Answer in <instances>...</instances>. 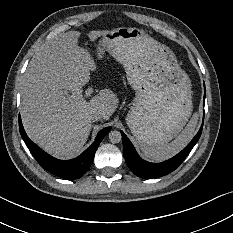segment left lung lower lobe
Here are the masks:
<instances>
[{
  "instance_id": "obj_1",
  "label": "left lung lower lobe",
  "mask_w": 233,
  "mask_h": 233,
  "mask_svg": "<svg viewBox=\"0 0 233 233\" xmlns=\"http://www.w3.org/2000/svg\"><path fill=\"white\" fill-rule=\"evenodd\" d=\"M206 96V90L204 88V99ZM203 129V124L201 125L200 130L188 146L178 153L173 158L161 162V163H150L142 160L137 154L134 146L127 138V136L122 132V141H123V155L128 167L131 171L141 178H156L164 176L172 171H174L186 158L189 152L192 150L194 145L199 140Z\"/></svg>"
}]
</instances>
